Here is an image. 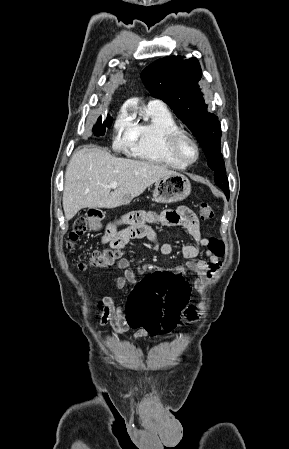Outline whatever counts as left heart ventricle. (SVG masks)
<instances>
[{"label": "left heart ventricle", "mask_w": 289, "mask_h": 449, "mask_svg": "<svg viewBox=\"0 0 289 449\" xmlns=\"http://www.w3.org/2000/svg\"><path fill=\"white\" fill-rule=\"evenodd\" d=\"M181 149L185 157L192 158L194 156V149L189 143L184 142Z\"/></svg>", "instance_id": "b2bd125f"}]
</instances>
